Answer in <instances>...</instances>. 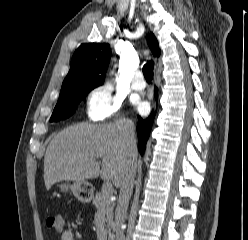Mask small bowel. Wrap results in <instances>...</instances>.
I'll return each instance as SVG.
<instances>
[{
    "label": "small bowel",
    "instance_id": "small-bowel-1",
    "mask_svg": "<svg viewBox=\"0 0 248 240\" xmlns=\"http://www.w3.org/2000/svg\"><path fill=\"white\" fill-rule=\"evenodd\" d=\"M60 240H75V234L72 230H65L61 233Z\"/></svg>",
    "mask_w": 248,
    "mask_h": 240
}]
</instances>
